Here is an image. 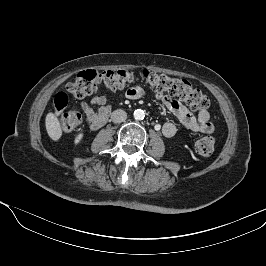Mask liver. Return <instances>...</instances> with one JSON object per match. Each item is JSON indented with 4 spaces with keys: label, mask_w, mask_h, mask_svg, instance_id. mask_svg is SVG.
<instances>
[{
    "label": "liver",
    "mask_w": 266,
    "mask_h": 266,
    "mask_svg": "<svg viewBox=\"0 0 266 266\" xmlns=\"http://www.w3.org/2000/svg\"><path fill=\"white\" fill-rule=\"evenodd\" d=\"M45 126L47 133L52 140L57 141L60 139L62 136V128L59 119L54 113L49 112L46 115Z\"/></svg>",
    "instance_id": "1"
}]
</instances>
